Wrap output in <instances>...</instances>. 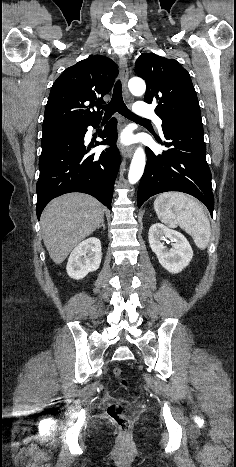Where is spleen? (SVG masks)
<instances>
[{
    "mask_svg": "<svg viewBox=\"0 0 236 467\" xmlns=\"http://www.w3.org/2000/svg\"><path fill=\"white\" fill-rule=\"evenodd\" d=\"M154 209L162 223L170 228L180 226L192 236L198 248L207 247L211 236L210 222L197 200L180 192H166L156 198Z\"/></svg>",
    "mask_w": 236,
    "mask_h": 467,
    "instance_id": "spleen-1",
    "label": "spleen"
}]
</instances>
